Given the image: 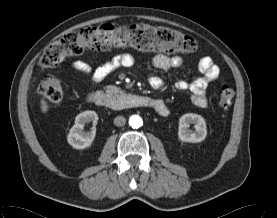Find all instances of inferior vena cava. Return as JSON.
Returning <instances> with one entry per match:
<instances>
[{
  "mask_svg": "<svg viewBox=\"0 0 277 218\" xmlns=\"http://www.w3.org/2000/svg\"><path fill=\"white\" fill-rule=\"evenodd\" d=\"M126 123V119L123 116H117L114 119V124L118 127L124 126Z\"/></svg>",
  "mask_w": 277,
  "mask_h": 218,
  "instance_id": "obj_1",
  "label": "inferior vena cava"
}]
</instances>
